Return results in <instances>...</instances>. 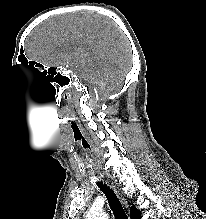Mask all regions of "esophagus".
<instances>
[{"label":"esophagus","instance_id":"obj_1","mask_svg":"<svg viewBox=\"0 0 206 219\" xmlns=\"http://www.w3.org/2000/svg\"><path fill=\"white\" fill-rule=\"evenodd\" d=\"M111 187L116 191V193H117L119 199L121 200V202L123 203V205H125V207L128 208V203H127L126 199L123 197V195L119 191H117V189L115 188V186L113 184H111Z\"/></svg>","mask_w":206,"mask_h":219}]
</instances>
